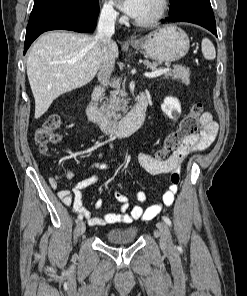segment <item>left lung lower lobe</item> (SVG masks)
Listing matches in <instances>:
<instances>
[{"mask_svg": "<svg viewBox=\"0 0 247 296\" xmlns=\"http://www.w3.org/2000/svg\"><path fill=\"white\" fill-rule=\"evenodd\" d=\"M169 22H190L203 26L217 36L210 0H189L183 7L169 12Z\"/></svg>", "mask_w": 247, "mask_h": 296, "instance_id": "left-lung-lower-lobe-1", "label": "left lung lower lobe"}]
</instances>
